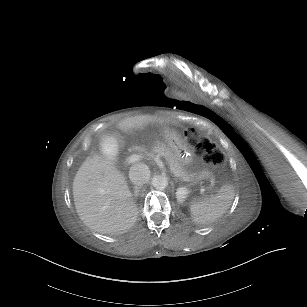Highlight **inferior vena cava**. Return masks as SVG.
<instances>
[{"label":"inferior vena cava","instance_id":"inferior-vena-cava-1","mask_svg":"<svg viewBox=\"0 0 307 307\" xmlns=\"http://www.w3.org/2000/svg\"><path fill=\"white\" fill-rule=\"evenodd\" d=\"M150 177V170L145 164H137L130 168L129 178L135 186L142 187L149 182Z\"/></svg>","mask_w":307,"mask_h":307}]
</instances>
